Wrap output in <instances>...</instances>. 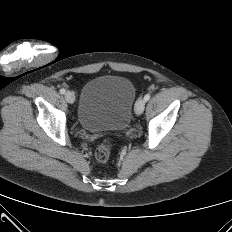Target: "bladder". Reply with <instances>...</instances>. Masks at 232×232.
Returning <instances> with one entry per match:
<instances>
[{
    "label": "bladder",
    "instance_id": "obj_1",
    "mask_svg": "<svg viewBox=\"0 0 232 232\" xmlns=\"http://www.w3.org/2000/svg\"><path fill=\"white\" fill-rule=\"evenodd\" d=\"M135 97L133 83L123 76L92 78L80 95L78 122L91 132L122 131L129 125Z\"/></svg>",
    "mask_w": 232,
    "mask_h": 232
}]
</instances>
